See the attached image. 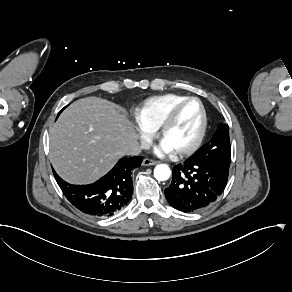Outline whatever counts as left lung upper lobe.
Returning <instances> with one entry per match:
<instances>
[{
	"instance_id": "obj_1",
	"label": "left lung upper lobe",
	"mask_w": 292,
	"mask_h": 292,
	"mask_svg": "<svg viewBox=\"0 0 292 292\" xmlns=\"http://www.w3.org/2000/svg\"><path fill=\"white\" fill-rule=\"evenodd\" d=\"M205 161H231V145L227 124H220L209 143L202 146L195 154Z\"/></svg>"
}]
</instances>
